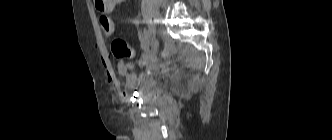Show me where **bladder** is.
I'll list each match as a JSON object with an SVG mask.
<instances>
[{
    "mask_svg": "<svg viewBox=\"0 0 332 140\" xmlns=\"http://www.w3.org/2000/svg\"><path fill=\"white\" fill-rule=\"evenodd\" d=\"M143 98H144V99L147 98V92H144V94H143Z\"/></svg>",
    "mask_w": 332,
    "mask_h": 140,
    "instance_id": "obj_1",
    "label": "bladder"
}]
</instances>
